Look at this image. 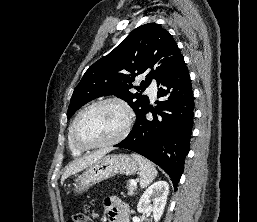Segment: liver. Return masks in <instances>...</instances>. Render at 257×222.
Returning <instances> with one entry per match:
<instances>
[{"label": "liver", "instance_id": "6515ba94", "mask_svg": "<svg viewBox=\"0 0 257 222\" xmlns=\"http://www.w3.org/2000/svg\"><path fill=\"white\" fill-rule=\"evenodd\" d=\"M112 149H102L98 150L90 155H87L83 158L77 159L71 164H69L66 169L64 170V173L61 178V182L63 183L65 179H67L69 176L80 172L84 170L85 168L91 166L93 163H95L97 160L105 156L107 153H109Z\"/></svg>", "mask_w": 257, "mask_h": 222}]
</instances>
